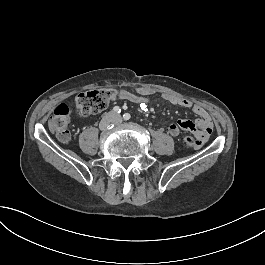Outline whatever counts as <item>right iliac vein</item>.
<instances>
[{"mask_svg":"<svg viewBox=\"0 0 265 265\" xmlns=\"http://www.w3.org/2000/svg\"><path fill=\"white\" fill-rule=\"evenodd\" d=\"M114 122V115L112 113L106 114L99 124L100 129H105L109 124Z\"/></svg>","mask_w":265,"mask_h":265,"instance_id":"right-iliac-vein-1","label":"right iliac vein"}]
</instances>
